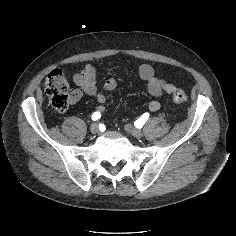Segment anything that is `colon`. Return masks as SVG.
Returning <instances> with one entry per match:
<instances>
[{
	"instance_id": "colon-1",
	"label": "colon",
	"mask_w": 236,
	"mask_h": 236,
	"mask_svg": "<svg viewBox=\"0 0 236 236\" xmlns=\"http://www.w3.org/2000/svg\"><path fill=\"white\" fill-rule=\"evenodd\" d=\"M45 90L52 106L58 111H65L72 102L69 83L63 72L59 69L51 71L45 80ZM174 103L182 104L187 102V94L180 89H175L172 93Z\"/></svg>"
}]
</instances>
